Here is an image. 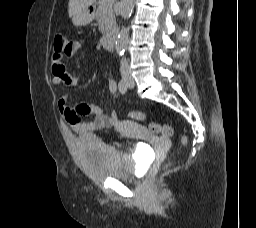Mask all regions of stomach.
Masks as SVG:
<instances>
[{
    "label": "stomach",
    "instance_id": "stomach-1",
    "mask_svg": "<svg viewBox=\"0 0 256 228\" xmlns=\"http://www.w3.org/2000/svg\"><path fill=\"white\" fill-rule=\"evenodd\" d=\"M94 18H95L94 9L91 6H88L78 10L72 16V22L77 27L85 26L90 24Z\"/></svg>",
    "mask_w": 256,
    "mask_h": 228
}]
</instances>
